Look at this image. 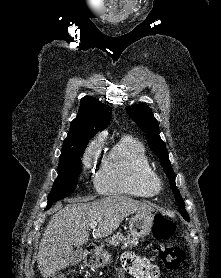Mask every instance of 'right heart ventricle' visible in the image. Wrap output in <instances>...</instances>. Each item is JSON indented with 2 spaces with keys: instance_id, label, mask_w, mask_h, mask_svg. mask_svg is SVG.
Returning a JSON list of instances; mask_svg holds the SVG:
<instances>
[{
  "instance_id": "obj_1",
  "label": "right heart ventricle",
  "mask_w": 221,
  "mask_h": 278,
  "mask_svg": "<svg viewBox=\"0 0 221 278\" xmlns=\"http://www.w3.org/2000/svg\"><path fill=\"white\" fill-rule=\"evenodd\" d=\"M152 170L145 146L132 136H124L102 157L95 185L104 195L149 197L144 174Z\"/></svg>"
}]
</instances>
